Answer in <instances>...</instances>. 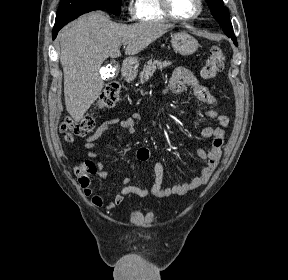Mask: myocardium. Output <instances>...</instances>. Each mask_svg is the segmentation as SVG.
<instances>
[{"instance_id": "f54148a6", "label": "myocardium", "mask_w": 288, "mask_h": 280, "mask_svg": "<svg viewBox=\"0 0 288 280\" xmlns=\"http://www.w3.org/2000/svg\"><path fill=\"white\" fill-rule=\"evenodd\" d=\"M159 2H160V7H161L163 13L165 14V16L168 19L175 21V22L185 23V22L194 21L200 16V14L202 13V10H203V0H197L196 12L189 17L181 18V17L176 16L173 13L172 8H171V4H170V0H159Z\"/></svg>"}]
</instances>
